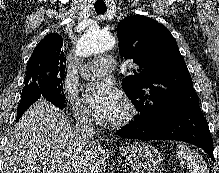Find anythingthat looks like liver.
Returning a JSON list of instances; mask_svg holds the SVG:
<instances>
[{"mask_svg":"<svg viewBox=\"0 0 219 173\" xmlns=\"http://www.w3.org/2000/svg\"><path fill=\"white\" fill-rule=\"evenodd\" d=\"M2 173H104L106 153L98 140L76 141L65 115L44 99L20 118L4 149Z\"/></svg>","mask_w":219,"mask_h":173,"instance_id":"1","label":"liver"}]
</instances>
